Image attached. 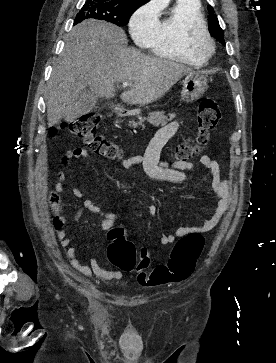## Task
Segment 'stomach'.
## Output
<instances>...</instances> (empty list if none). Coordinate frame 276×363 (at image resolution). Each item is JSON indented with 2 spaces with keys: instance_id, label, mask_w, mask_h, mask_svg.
<instances>
[{
  "instance_id": "1",
  "label": "stomach",
  "mask_w": 276,
  "mask_h": 363,
  "mask_svg": "<svg viewBox=\"0 0 276 363\" xmlns=\"http://www.w3.org/2000/svg\"><path fill=\"white\" fill-rule=\"evenodd\" d=\"M182 85L181 100L186 103H192L203 96L207 88V78L199 73H190L186 75ZM139 113L140 110L136 109L130 115Z\"/></svg>"
}]
</instances>
